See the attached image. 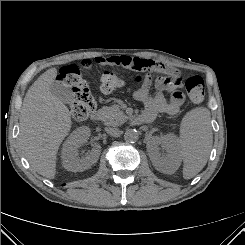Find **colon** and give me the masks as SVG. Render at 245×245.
Here are the masks:
<instances>
[{"instance_id":"1","label":"colon","mask_w":245,"mask_h":245,"mask_svg":"<svg viewBox=\"0 0 245 245\" xmlns=\"http://www.w3.org/2000/svg\"><path fill=\"white\" fill-rule=\"evenodd\" d=\"M163 71L171 78H179V71L173 67L162 66ZM59 82L72 89L73 95L70 102V113L76 120L87 118L96 108V101L90 93L88 84L82 77L80 69L75 64H70L60 70ZM140 76H135L138 82ZM122 86V80L113 72H105L100 78V90L110 93ZM186 92L191 102L201 103L205 96L204 81L200 76H192L186 80Z\"/></svg>"}]
</instances>
